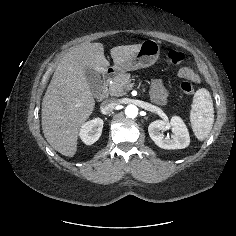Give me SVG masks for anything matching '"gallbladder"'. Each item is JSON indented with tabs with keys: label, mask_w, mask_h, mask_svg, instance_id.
Returning <instances> with one entry per match:
<instances>
[{
	"label": "gallbladder",
	"mask_w": 236,
	"mask_h": 236,
	"mask_svg": "<svg viewBox=\"0 0 236 236\" xmlns=\"http://www.w3.org/2000/svg\"><path fill=\"white\" fill-rule=\"evenodd\" d=\"M85 77L93 93H98L102 86V79L98 72L90 67L85 68Z\"/></svg>",
	"instance_id": "bac80fb5"
}]
</instances>
